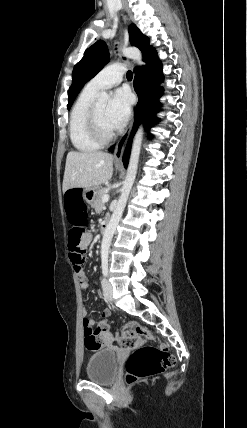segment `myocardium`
<instances>
[{
	"label": "myocardium",
	"instance_id": "1",
	"mask_svg": "<svg viewBox=\"0 0 247 428\" xmlns=\"http://www.w3.org/2000/svg\"><path fill=\"white\" fill-rule=\"evenodd\" d=\"M87 127L91 136L100 144H107L112 141L116 136V133L114 131L106 134L101 130L97 118V104L95 103L91 106L90 111L88 113Z\"/></svg>",
	"mask_w": 247,
	"mask_h": 428
}]
</instances>
